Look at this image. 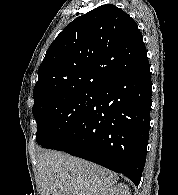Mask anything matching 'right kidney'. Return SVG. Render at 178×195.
<instances>
[{
  "label": "right kidney",
  "instance_id": "ca27d5eb",
  "mask_svg": "<svg viewBox=\"0 0 178 195\" xmlns=\"http://www.w3.org/2000/svg\"><path fill=\"white\" fill-rule=\"evenodd\" d=\"M102 195H130V191L125 184L118 183L107 188Z\"/></svg>",
  "mask_w": 178,
  "mask_h": 195
}]
</instances>
